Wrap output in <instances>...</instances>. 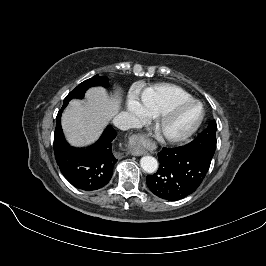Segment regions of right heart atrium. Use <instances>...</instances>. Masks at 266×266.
<instances>
[{"label": "right heart atrium", "instance_id": "1", "mask_svg": "<svg viewBox=\"0 0 266 266\" xmlns=\"http://www.w3.org/2000/svg\"><path fill=\"white\" fill-rule=\"evenodd\" d=\"M127 108L136 122H144L150 117L143 103L134 94L129 96L127 100Z\"/></svg>", "mask_w": 266, "mask_h": 266}]
</instances>
